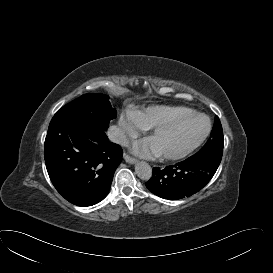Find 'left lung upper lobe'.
Instances as JSON below:
<instances>
[{
    "label": "left lung upper lobe",
    "mask_w": 273,
    "mask_h": 273,
    "mask_svg": "<svg viewBox=\"0 0 273 273\" xmlns=\"http://www.w3.org/2000/svg\"><path fill=\"white\" fill-rule=\"evenodd\" d=\"M223 146V130L221 122L218 116H216L210 138L206 144L196 154L189 157V159L205 161L218 167L223 154Z\"/></svg>",
    "instance_id": "5c2ea615"
}]
</instances>
